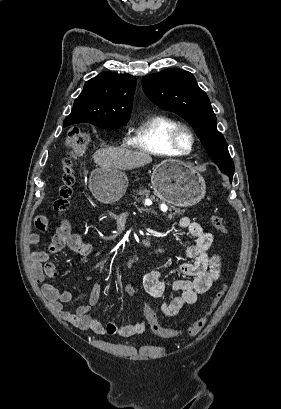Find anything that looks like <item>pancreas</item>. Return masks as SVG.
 I'll use <instances>...</instances> for the list:
<instances>
[{
  "mask_svg": "<svg viewBox=\"0 0 281 409\" xmlns=\"http://www.w3.org/2000/svg\"><path fill=\"white\" fill-rule=\"evenodd\" d=\"M133 196L137 198V200H144V198H153L154 194H150V190H147V188H139V190H134ZM169 211H171V213L168 215V219H175L178 213L181 215L179 209H175V207H170Z\"/></svg>",
  "mask_w": 281,
  "mask_h": 409,
  "instance_id": "cf45deb5",
  "label": "pancreas"
}]
</instances>
